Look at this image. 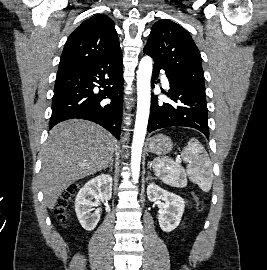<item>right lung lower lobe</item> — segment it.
<instances>
[{
	"label": "right lung lower lobe",
	"mask_w": 267,
	"mask_h": 270,
	"mask_svg": "<svg viewBox=\"0 0 267 270\" xmlns=\"http://www.w3.org/2000/svg\"><path fill=\"white\" fill-rule=\"evenodd\" d=\"M122 55L57 73L49 128L73 118L95 122L119 138L123 110ZM100 85L103 90L94 93ZM111 99L106 102L105 99Z\"/></svg>",
	"instance_id": "1"
}]
</instances>
